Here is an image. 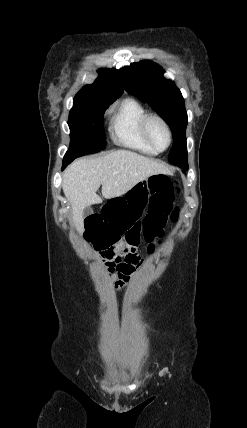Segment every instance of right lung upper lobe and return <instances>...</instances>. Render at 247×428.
I'll return each mask as SVG.
<instances>
[{"instance_id":"right-lung-upper-lobe-1","label":"right lung upper lobe","mask_w":247,"mask_h":428,"mask_svg":"<svg viewBox=\"0 0 247 428\" xmlns=\"http://www.w3.org/2000/svg\"><path fill=\"white\" fill-rule=\"evenodd\" d=\"M123 93L120 72L116 69L101 70L99 77L91 84L84 86L76 96H89L105 102L115 101Z\"/></svg>"}]
</instances>
